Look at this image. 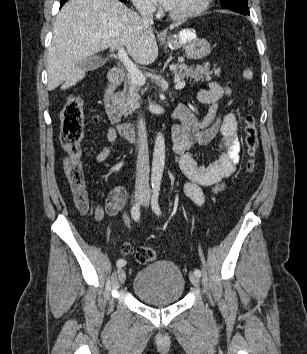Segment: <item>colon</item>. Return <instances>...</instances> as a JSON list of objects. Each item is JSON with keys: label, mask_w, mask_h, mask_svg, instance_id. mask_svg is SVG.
<instances>
[{"label": "colon", "mask_w": 307, "mask_h": 354, "mask_svg": "<svg viewBox=\"0 0 307 354\" xmlns=\"http://www.w3.org/2000/svg\"><path fill=\"white\" fill-rule=\"evenodd\" d=\"M61 118V145L66 151L65 171L70 188L74 195L77 208L87 211L90 207L88 193L86 191L84 171L81 161V142L83 138L84 112L83 100L78 95L67 97L60 114ZM245 145L249 155L247 162L248 172H253L256 163V154L259 146L257 125L254 115L245 117ZM122 253L127 255L132 251L130 245L122 247ZM137 262L144 264L157 258L155 249L149 246H141L134 251Z\"/></svg>", "instance_id": "1"}]
</instances>
